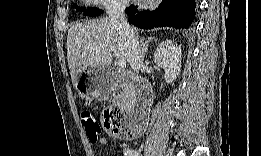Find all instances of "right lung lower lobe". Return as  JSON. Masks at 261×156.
<instances>
[{
    "instance_id": "right-lung-lower-lobe-1",
    "label": "right lung lower lobe",
    "mask_w": 261,
    "mask_h": 156,
    "mask_svg": "<svg viewBox=\"0 0 261 156\" xmlns=\"http://www.w3.org/2000/svg\"><path fill=\"white\" fill-rule=\"evenodd\" d=\"M194 0H162L153 10H137V6L126 8L129 22L143 29L154 27L189 28L195 18Z\"/></svg>"
}]
</instances>
